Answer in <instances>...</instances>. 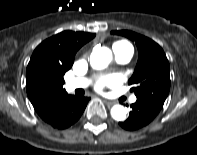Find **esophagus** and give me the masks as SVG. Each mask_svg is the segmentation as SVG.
<instances>
[{
  "instance_id": "obj_1",
  "label": "esophagus",
  "mask_w": 197,
  "mask_h": 155,
  "mask_svg": "<svg viewBox=\"0 0 197 155\" xmlns=\"http://www.w3.org/2000/svg\"><path fill=\"white\" fill-rule=\"evenodd\" d=\"M103 102L108 105V106H112L114 105L115 103L113 101H109V100H106V99H103Z\"/></svg>"
}]
</instances>
